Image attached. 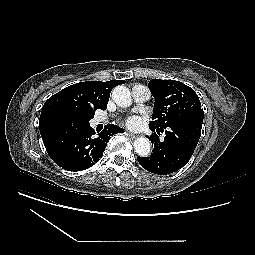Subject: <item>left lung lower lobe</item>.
I'll return each instance as SVG.
<instances>
[{"mask_svg": "<svg viewBox=\"0 0 255 255\" xmlns=\"http://www.w3.org/2000/svg\"><path fill=\"white\" fill-rule=\"evenodd\" d=\"M203 123V112L194 116L171 123L166 128H158L150 123L149 128L154 132L147 136L152 142L153 153L149 157H138L140 165L159 175H167L178 171L187 164L198 144ZM166 136L160 141V132Z\"/></svg>", "mask_w": 255, "mask_h": 255, "instance_id": "0a47b994", "label": "left lung lower lobe"}]
</instances>
